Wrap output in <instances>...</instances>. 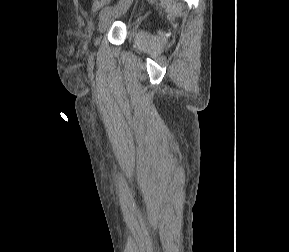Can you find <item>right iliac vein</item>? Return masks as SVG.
Returning <instances> with one entry per match:
<instances>
[{
	"label": "right iliac vein",
	"instance_id": "obj_1",
	"mask_svg": "<svg viewBox=\"0 0 289 252\" xmlns=\"http://www.w3.org/2000/svg\"><path fill=\"white\" fill-rule=\"evenodd\" d=\"M133 0H121L111 11L102 17L98 24V32L103 33L109 27L111 22L125 13Z\"/></svg>",
	"mask_w": 289,
	"mask_h": 252
}]
</instances>
